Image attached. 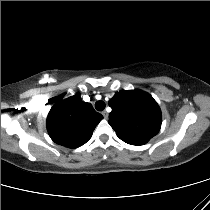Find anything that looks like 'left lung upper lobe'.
Listing matches in <instances>:
<instances>
[{
	"label": "left lung upper lobe",
	"mask_w": 210,
	"mask_h": 210,
	"mask_svg": "<svg viewBox=\"0 0 210 210\" xmlns=\"http://www.w3.org/2000/svg\"><path fill=\"white\" fill-rule=\"evenodd\" d=\"M109 124L117 136L131 145H143L161 127V111L156 101L140 90L117 92L109 101Z\"/></svg>",
	"instance_id": "5c2ea615"
}]
</instances>
